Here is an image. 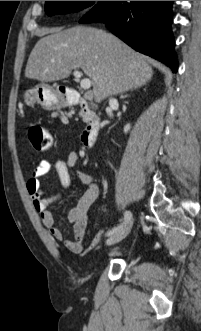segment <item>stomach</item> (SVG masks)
Masks as SVG:
<instances>
[{"mask_svg": "<svg viewBox=\"0 0 201 331\" xmlns=\"http://www.w3.org/2000/svg\"><path fill=\"white\" fill-rule=\"evenodd\" d=\"M24 102L26 105L32 107L38 104L46 110H55L63 106V101L58 97L52 87L44 83L26 90Z\"/></svg>", "mask_w": 201, "mask_h": 331, "instance_id": "obj_1", "label": "stomach"}]
</instances>
